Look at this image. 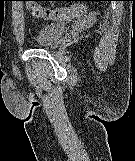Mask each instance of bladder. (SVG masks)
Segmentation results:
<instances>
[{"instance_id":"1","label":"bladder","mask_w":135,"mask_h":161,"mask_svg":"<svg viewBox=\"0 0 135 161\" xmlns=\"http://www.w3.org/2000/svg\"><path fill=\"white\" fill-rule=\"evenodd\" d=\"M65 25L62 23H48L36 33L33 43L37 47H49L59 41L64 35Z\"/></svg>"}]
</instances>
